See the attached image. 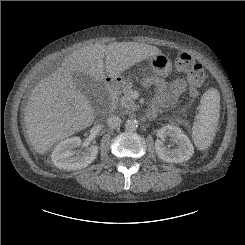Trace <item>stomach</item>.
Instances as JSON below:
<instances>
[{"label": "stomach", "instance_id": "obj_1", "mask_svg": "<svg viewBox=\"0 0 245 245\" xmlns=\"http://www.w3.org/2000/svg\"><path fill=\"white\" fill-rule=\"evenodd\" d=\"M148 67L152 70L153 73L160 76H165L170 73L172 69V63L168 56L160 53L149 59Z\"/></svg>", "mask_w": 245, "mask_h": 245}]
</instances>
